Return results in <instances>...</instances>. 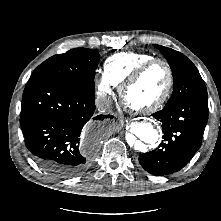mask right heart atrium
Masks as SVG:
<instances>
[{"instance_id":"right-heart-atrium-1","label":"right heart atrium","mask_w":221,"mask_h":221,"mask_svg":"<svg viewBox=\"0 0 221 221\" xmlns=\"http://www.w3.org/2000/svg\"><path fill=\"white\" fill-rule=\"evenodd\" d=\"M114 87L115 85L108 79V77L105 74H102L96 85L98 98L106 104L109 103L113 95Z\"/></svg>"}]
</instances>
